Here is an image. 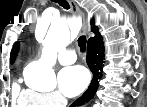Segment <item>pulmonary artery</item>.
<instances>
[{
    "label": "pulmonary artery",
    "mask_w": 147,
    "mask_h": 107,
    "mask_svg": "<svg viewBox=\"0 0 147 107\" xmlns=\"http://www.w3.org/2000/svg\"><path fill=\"white\" fill-rule=\"evenodd\" d=\"M58 60L63 65L72 64L76 61V54L74 50H71V49L63 50L58 55Z\"/></svg>",
    "instance_id": "pulmonary-artery-1"
}]
</instances>
